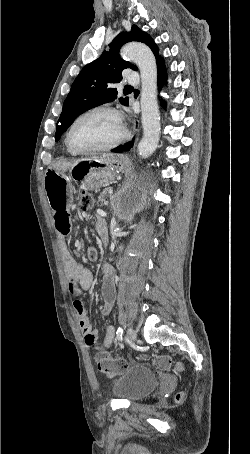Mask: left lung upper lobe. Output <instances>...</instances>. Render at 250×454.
<instances>
[{
	"label": "left lung upper lobe",
	"instance_id": "5c2ea615",
	"mask_svg": "<svg viewBox=\"0 0 250 454\" xmlns=\"http://www.w3.org/2000/svg\"><path fill=\"white\" fill-rule=\"evenodd\" d=\"M130 41L145 43L153 51L156 60L160 59L158 48L150 35L136 25L132 26L130 32L117 35L109 44V49L104 51L98 59L84 66L74 80L56 124V141L80 114L117 98L118 92L114 84L122 80L123 70L126 68L137 70L136 66L124 61L119 56L121 46ZM119 101L128 105V97H121Z\"/></svg>",
	"mask_w": 250,
	"mask_h": 454
}]
</instances>
